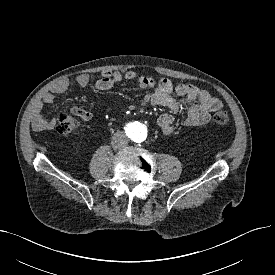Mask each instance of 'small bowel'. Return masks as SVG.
I'll return each instance as SVG.
<instances>
[{
	"label": "small bowel",
	"mask_w": 275,
	"mask_h": 275,
	"mask_svg": "<svg viewBox=\"0 0 275 275\" xmlns=\"http://www.w3.org/2000/svg\"><path fill=\"white\" fill-rule=\"evenodd\" d=\"M123 80L135 81L140 87L153 89L144 97L142 104L161 106L169 110V112L162 114L158 118V125L166 136L173 133L174 114L179 113L186 105L190 104L187 110V118L184 122L186 127H198L207 124L211 119V114L223 107L220 99L212 96L207 90L200 89L193 84L180 83L174 85L168 78H162L156 82L149 76L130 70L103 72L101 77L94 83V87L97 90L104 91ZM88 82L89 78L85 74H80L76 77V83L80 87H85ZM67 88L68 81L66 79L55 82L51 90L43 96V103L52 104L57 96L64 93ZM172 93L180 97V100H175L171 96ZM194 101L198 102L191 104ZM71 112L83 121H89L92 118V114L89 111L79 107H72ZM55 125L56 120L47 118L41 107L36 110L32 119V126L35 130H51Z\"/></svg>",
	"instance_id": "1"
}]
</instances>
